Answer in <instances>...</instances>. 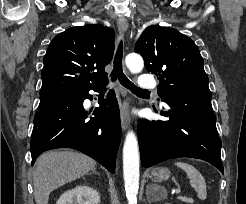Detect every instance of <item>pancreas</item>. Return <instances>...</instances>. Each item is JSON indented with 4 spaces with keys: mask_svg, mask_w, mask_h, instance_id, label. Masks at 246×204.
<instances>
[{
    "mask_svg": "<svg viewBox=\"0 0 246 204\" xmlns=\"http://www.w3.org/2000/svg\"><path fill=\"white\" fill-rule=\"evenodd\" d=\"M179 199H181L182 201H185V202H190V199H188L186 197H179Z\"/></svg>",
    "mask_w": 246,
    "mask_h": 204,
    "instance_id": "pancreas-1",
    "label": "pancreas"
}]
</instances>
